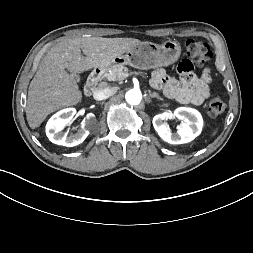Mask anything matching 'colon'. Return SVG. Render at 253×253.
I'll return each mask as SVG.
<instances>
[{"instance_id":"colon-1","label":"colon","mask_w":253,"mask_h":253,"mask_svg":"<svg viewBox=\"0 0 253 253\" xmlns=\"http://www.w3.org/2000/svg\"><path fill=\"white\" fill-rule=\"evenodd\" d=\"M187 58L196 63L198 67H205L213 58L209 45L200 40L190 39L185 43ZM225 111V104L219 97H213L208 103V112L213 117H218Z\"/></svg>"}]
</instances>
